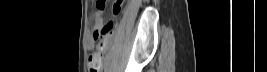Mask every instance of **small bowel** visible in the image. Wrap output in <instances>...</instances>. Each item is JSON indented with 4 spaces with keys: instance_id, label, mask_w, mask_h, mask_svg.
<instances>
[{
    "instance_id": "1",
    "label": "small bowel",
    "mask_w": 267,
    "mask_h": 72,
    "mask_svg": "<svg viewBox=\"0 0 267 72\" xmlns=\"http://www.w3.org/2000/svg\"><path fill=\"white\" fill-rule=\"evenodd\" d=\"M118 6V11L114 10V7ZM122 7H123V1H117L112 8V13L114 16V19L109 21V22H113L116 20V18L120 15L121 11H122ZM107 22L106 24H104V19L101 15H97L94 18V31L92 33V36L90 38L89 41V48H92L94 46V42L100 38V37H104V44L109 46L111 44L112 41V35H107L104 31L103 28L109 23Z\"/></svg>"
}]
</instances>
